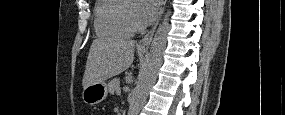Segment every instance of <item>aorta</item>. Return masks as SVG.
I'll return each mask as SVG.
<instances>
[{"label": "aorta", "mask_w": 285, "mask_h": 115, "mask_svg": "<svg viewBox=\"0 0 285 115\" xmlns=\"http://www.w3.org/2000/svg\"><path fill=\"white\" fill-rule=\"evenodd\" d=\"M169 15L170 11L165 14L162 24L155 33L146 65L141 72L139 82L130 100L128 115H138L156 81L166 47Z\"/></svg>", "instance_id": "762f6f07"}]
</instances>
